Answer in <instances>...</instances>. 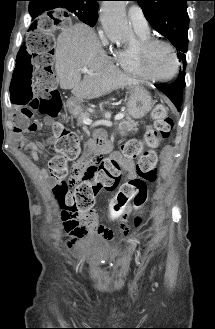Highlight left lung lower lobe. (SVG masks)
<instances>
[{
    "instance_id": "obj_1",
    "label": "left lung lower lobe",
    "mask_w": 215,
    "mask_h": 329,
    "mask_svg": "<svg viewBox=\"0 0 215 329\" xmlns=\"http://www.w3.org/2000/svg\"><path fill=\"white\" fill-rule=\"evenodd\" d=\"M185 86V75L182 78H178L172 84L166 86H156L159 90L165 93L171 101L178 107L180 110L181 102H182V88Z\"/></svg>"
}]
</instances>
